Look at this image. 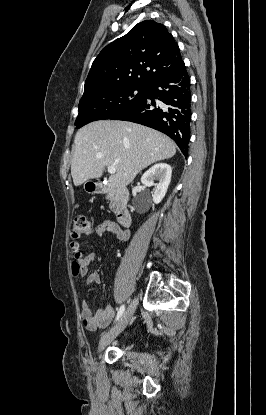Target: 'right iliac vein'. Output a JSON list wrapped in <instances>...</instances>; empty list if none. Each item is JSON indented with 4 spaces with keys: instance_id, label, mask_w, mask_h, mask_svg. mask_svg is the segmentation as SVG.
I'll use <instances>...</instances> for the list:
<instances>
[{
    "instance_id": "obj_1",
    "label": "right iliac vein",
    "mask_w": 266,
    "mask_h": 415,
    "mask_svg": "<svg viewBox=\"0 0 266 415\" xmlns=\"http://www.w3.org/2000/svg\"><path fill=\"white\" fill-rule=\"evenodd\" d=\"M137 300L134 299L126 311L123 313L117 324L112 327L107 333L103 335L99 342L98 351H102L110 342H112L127 326L129 320L131 319L135 308Z\"/></svg>"
}]
</instances>
